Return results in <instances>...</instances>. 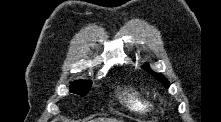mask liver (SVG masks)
<instances>
[{
    "label": "liver",
    "instance_id": "obj_1",
    "mask_svg": "<svg viewBox=\"0 0 221 122\" xmlns=\"http://www.w3.org/2000/svg\"><path fill=\"white\" fill-rule=\"evenodd\" d=\"M97 122H120V121L114 118H100L97 119Z\"/></svg>",
    "mask_w": 221,
    "mask_h": 122
}]
</instances>
